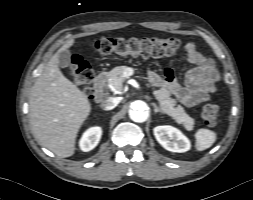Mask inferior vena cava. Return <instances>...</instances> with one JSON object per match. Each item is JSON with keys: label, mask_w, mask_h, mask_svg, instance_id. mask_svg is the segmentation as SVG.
I'll list each match as a JSON object with an SVG mask.
<instances>
[{"label": "inferior vena cava", "mask_w": 253, "mask_h": 200, "mask_svg": "<svg viewBox=\"0 0 253 200\" xmlns=\"http://www.w3.org/2000/svg\"><path fill=\"white\" fill-rule=\"evenodd\" d=\"M119 103V99L115 97H109L101 103V107L105 110H112Z\"/></svg>", "instance_id": "obj_1"}]
</instances>
